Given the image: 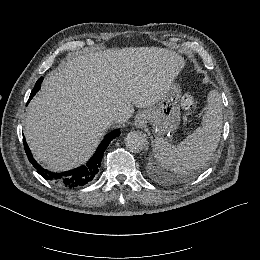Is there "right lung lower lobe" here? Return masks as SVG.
Segmentation results:
<instances>
[{"instance_id": "1", "label": "right lung lower lobe", "mask_w": 260, "mask_h": 260, "mask_svg": "<svg viewBox=\"0 0 260 260\" xmlns=\"http://www.w3.org/2000/svg\"><path fill=\"white\" fill-rule=\"evenodd\" d=\"M42 81H43V77L38 79L34 89L30 94L27 103H29L32 97L38 92ZM119 135H120V130H114L108 133L104 137L100 145L98 146L93 157L85 165L62 173H54L42 168L32 157L31 151L24 137H23V142H24L25 152L27 154L29 161L33 164V166L37 169V172L42 177L56 183L59 186L66 187V188H75V187L84 186L94 179V177L99 172V167L101 165V160L105 149L108 147L111 140L118 137Z\"/></svg>"}]
</instances>
